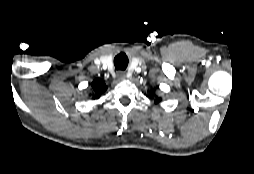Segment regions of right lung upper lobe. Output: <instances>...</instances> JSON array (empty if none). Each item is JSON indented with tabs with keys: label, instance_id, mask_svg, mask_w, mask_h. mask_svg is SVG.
Listing matches in <instances>:
<instances>
[{
	"label": "right lung upper lobe",
	"instance_id": "1",
	"mask_svg": "<svg viewBox=\"0 0 254 174\" xmlns=\"http://www.w3.org/2000/svg\"><path fill=\"white\" fill-rule=\"evenodd\" d=\"M92 90L94 92L93 98H99L100 95L107 90L105 82L101 79H95L91 84Z\"/></svg>",
	"mask_w": 254,
	"mask_h": 174
}]
</instances>
